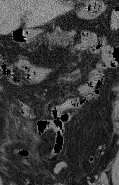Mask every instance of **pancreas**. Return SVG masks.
Instances as JSON below:
<instances>
[{
	"label": "pancreas",
	"instance_id": "pancreas-1",
	"mask_svg": "<svg viewBox=\"0 0 119 185\" xmlns=\"http://www.w3.org/2000/svg\"><path fill=\"white\" fill-rule=\"evenodd\" d=\"M75 34L74 31L65 34L63 32L54 31L52 33H48L45 37V39L48 41L49 44L57 45V46H66L69 44V41L71 40L72 36Z\"/></svg>",
	"mask_w": 119,
	"mask_h": 185
}]
</instances>
